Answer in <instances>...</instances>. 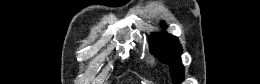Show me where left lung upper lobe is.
I'll use <instances>...</instances> for the list:
<instances>
[{
  "mask_svg": "<svg viewBox=\"0 0 260 84\" xmlns=\"http://www.w3.org/2000/svg\"><path fill=\"white\" fill-rule=\"evenodd\" d=\"M151 53L158 56L162 63L170 65V72L174 83L184 80V68L181 64L182 48L176 37L162 32L150 36Z\"/></svg>",
  "mask_w": 260,
  "mask_h": 84,
  "instance_id": "5c2ea615",
  "label": "left lung upper lobe"
}]
</instances>
